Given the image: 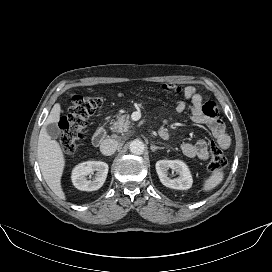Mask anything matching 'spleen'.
I'll use <instances>...</instances> for the list:
<instances>
[{
  "label": "spleen",
  "instance_id": "1",
  "mask_svg": "<svg viewBox=\"0 0 272 272\" xmlns=\"http://www.w3.org/2000/svg\"><path fill=\"white\" fill-rule=\"evenodd\" d=\"M224 173L221 169H216L213 171L211 176L205 181L203 185L204 191H210L217 187L223 180Z\"/></svg>",
  "mask_w": 272,
  "mask_h": 272
}]
</instances>
